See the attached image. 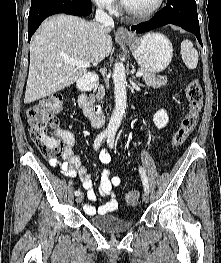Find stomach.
I'll use <instances>...</instances> for the list:
<instances>
[{
  "label": "stomach",
  "instance_id": "1",
  "mask_svg": "<svg viewBox=\"0 0 221 263\" xmlns=\"http://www.w3.org/2000/svg\"><path fill=\"white\" fill-rule=\"evenodd\" d=\"M127 44L138 65L149 73L166 69L173 56L170 40L161 33L151 32L141 38L122 39Z\"/></svg>",
  "mask_w": 221,
  "mask_h": 263
}]
</instances>
